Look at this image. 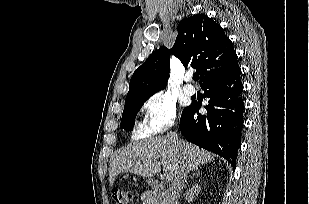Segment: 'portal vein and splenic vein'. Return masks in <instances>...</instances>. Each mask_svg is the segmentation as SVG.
Returning a JSON list of instances; mask_svg holds the SVG:
<instances>
[{
    "label": "portal vein and splenic vein",
    "mask_w": 309,
    "mask_h": 204,
    "mask_svg": "<svg viewBox=\"0 0 309 204\" xmlns=\"http://www.w3.org/2000/svg\"><path fill=\"white\" fill-rule=\"evenodd\" d=\"M171 178H172L171 174H170L169 172H167V173L165 174V179H166V180H170Z\"/></svg>",
    "instance_id": "portal-vein-and-splenic-vein-1"
}]
</instances>
